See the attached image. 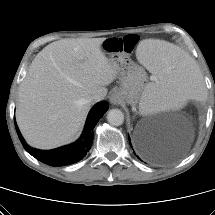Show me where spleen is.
<instances>
[{
	"instance_id": "spleen-1",
	"label": "spleen",
	"mask_w": 215,
	"mask_h": 215,
	"mask_svg": "<svg viewBox=\"0 0 215 215\" xmlns=\"http://www.w3.org/2000/svg\"><path fill=\"white\" fill-rule=\"evenodd\" d=\"M137 54L153 80L143 90L141 111L153 113L180 107L188 99H203L204 80L187 54L168 43L153 40L142 41Z\"/></svg>"
}]
</instances>
